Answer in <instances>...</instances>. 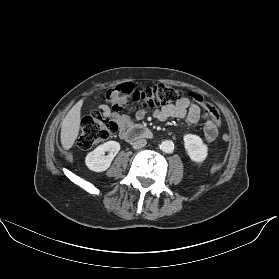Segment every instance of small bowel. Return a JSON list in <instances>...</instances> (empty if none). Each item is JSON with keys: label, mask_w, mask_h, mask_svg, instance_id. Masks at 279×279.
I'll list each match as a JSON object with an SVG mask.
<instances>
[{"label": "small bowel", "mask_w": 279, "mask_h": 279, "mask_svg": "<svg viewBox=\"0 0 279 279\" xmlns=\"http://www.w3.org/2000/svg\"><path fill=\"white\" fill-rule=\"evenodd\" d=\"M100 110L104 113L109 112L107 105H101ZM145 110H139L136 113L135 119H132L128 115H123L119 119L120 135L135 126V120H140L145 116ZM153 116L159 121H165L169 118L186 119L191 125L197 124L200 120L205 122L204 126V138L206 142L210 143L215 140L217 136V127L213 123L209 113L203 111L196 103L192 102L189 98L183 97L176 104L163 106L156 108L153 111Z\"/></svg>", "instance_id": "small-bowel-1"}]
</instances>
